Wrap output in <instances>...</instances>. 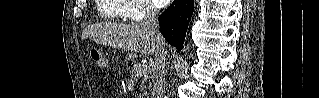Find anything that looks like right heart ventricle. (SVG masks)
Here are the masks:
<instances>
[{"mask_svg":"<svg viewBox=\"0 0 319 98\" xmlns=\"http://www.w3.org/2000/svg\"><path fill=\"white\" fill-rule=\"evenodd\" d=\"M131 4L126 0H99L98 13L107 20H117L126 17Z\"/></svg>","mask_w":319,"mask_h":98,"instance_id":"obj_1","label":"right heart ventricle"}]
</instances>
